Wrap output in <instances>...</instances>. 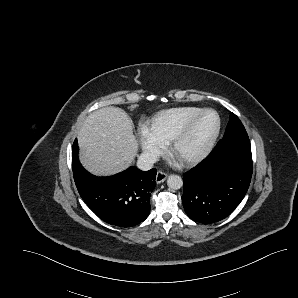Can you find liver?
<instances>
[{
	"mask_svg": "<svg viewBox=\"0 0 298 298\" xmlns=\"http://www.w3.org/2000/svg\"><path fill=\"white\" fill-rule=\"evenodd\" d=\"M132 124L118 107H103L90 113L77 136L82 165L99 176L127 169L138 151Z\"/></svg>",
	"mask_w": 298,
	"mask_h": 298,
	"instance_id": "obj_1",
	"label": "liver"
}]
</instances>
